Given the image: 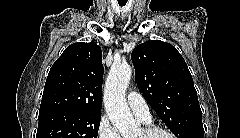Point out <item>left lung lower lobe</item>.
<instances>
[{
    "label": "left lung lower lobe",
    "instance_id": "left-lung-lower-lobe-1",
    "mask_svg": "<svg viewBox=\"0 0 240 138\" xmlns=\"http://www.w3.org/2000/svg\"><path fill=\"white\" fill-rule=\"evenodd\" d=\"M191 138H203V133L202 134H195L191 136Z\"/></svg>",
    "mask_w": 240,
    "mask_h": 138
}]
</instances>
